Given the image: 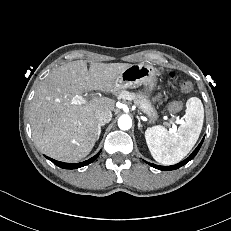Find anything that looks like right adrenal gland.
<instances>
[{"label":"right adrenal gland","mask_w":231,"mask_h":231,"mask_svg":"<svg viewBox=\"0 0 231 231\" xmlns=\"http://www.w3.org/2000/svg\"><path fill=\"white\" fill-rule=\"evenodd\" d=\"M101 126H104V125H98V139H99V136L101 134Z\"/></svg>","instance_id":"2a0ac1e0"}]
</instances>
